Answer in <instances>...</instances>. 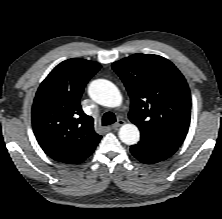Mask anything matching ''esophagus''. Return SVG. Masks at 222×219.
<instances>
[{"instance_id":"esophagus-1","label":"esophagus","mask_w":222,"mask_h":219,"mask_svg":"<svg viewBox=\"0 0 222 219\" xmlns=\"http://www.w3.org/2000/svg\"><path fill=\"white\" fill-rule=\"evenodd\" d=\"M125 122L123 120H118L115 124L112 125V129H116L122 126Z\"/></svg>"}]
</instances>
